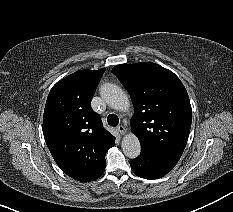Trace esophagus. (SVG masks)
Segmentation results:
<instances>
[{"instance_id":"esophagus-1","label":"esophagus","mask_w":233,"mask_h":212,"mask_svg":"<svg viewBox=\"0 0 233 212\" xmlns=\"http://www.w3.org/2000/svg\"><path fill=\"white\" fill-rule=\"evenodd\" d=\"M117 130L121 135H124L126 133V128L124 126H122V125H119L117 127Z\"/></svg>"}]
</instances>
